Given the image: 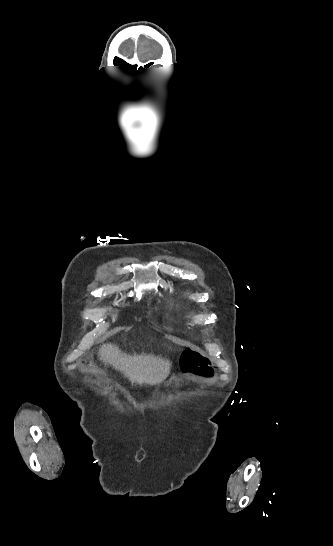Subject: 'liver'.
<instances>
[{
	"mask_svg": "<svg viewBox=\"0 0 333 546\" xmlns=\"http://www.w3.org/2000/svg\"><path fill=\"white\" fill-rule=\"evenodd\" d=\"M98 355L103 363L120 370L131 383L159 384L170 373L168 361L153 355H127L112 344H103Z\"/></svg>",
	"mask_w": 333,
	"mask_h": 546,
	"instance_id": "6515ba94",
	"label": "liver"
}]
</instances>
